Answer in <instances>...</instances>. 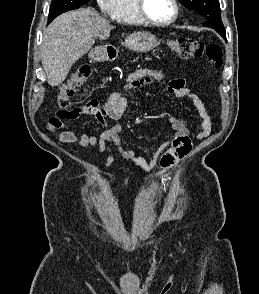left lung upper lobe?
<instances>
[{"instance_id": "obj_1", "label": "left lung upper lobe", "mask_w": 259, "mask_h": 294, "mask_svg": "<svg viewBox=\"0 0 259 294\" xmlns=\"http://www.w3.org/2000/svg\"><path fill=\"white\" fill-rule=\"evenodd\" d=\"M185 7L194 10L207 19V26H212L220 35L225 33L220 15L218 0H179Z\"/></svg>"}]
</instances>
